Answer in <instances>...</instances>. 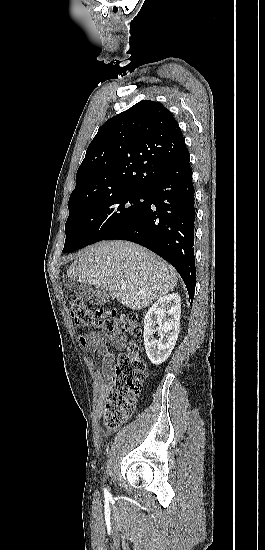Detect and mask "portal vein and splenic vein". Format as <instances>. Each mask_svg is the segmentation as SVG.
Segmentation results:
<instances>
[{
  "mask_svg": "<svg viewBox=\"0 0 265 550\" xmlns=\"http://www.w3.org/2000/svg\"><path fill=\"white\" fill-rule=\"evenodd\" d=\"M119 288L122 289V290H124V289H126V285L120 284V285H119Z\"/></svg>",
  "mask_w": 265,
  "mask_h": 550,
  "instance_id": "1",
  "label": "portal vein and splenic vein"
}]
</instances>
